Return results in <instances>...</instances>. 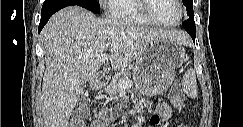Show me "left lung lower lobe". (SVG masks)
<instances>
[{"instance_id":"left-lung-lower-lobe-1","label":"left lung lower lobe","mask_w":243,"mask_h":127,"mask_svg":"<svg viewBox=\"0 0 243 127\" xmlns=\"http://www.w3.org/2000/svg\"><path fill=\"white\" fill-rule=\"evenodd\" d=\"M184 28L190 34V36L192 37L193 41L195 42L196 28L195 27H192V28L184 27Z\"/></svg>"}]
</instances>
